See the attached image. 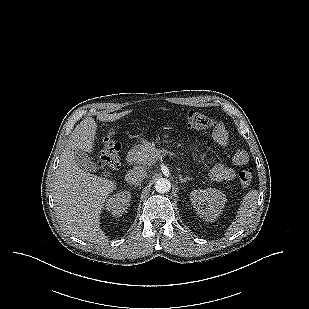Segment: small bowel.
<instances>
[{"label": "small bowel", "mask_w": 309, "mask_h": 309, "mask_svg": "<svg viewBox=\"0 0 309 309\" xmlns=\"http://www.w3.org/2000/svg\"><path fill=\"white\" fill-rule=\"evenodd\" d=\"M213 138L215 142L225 147L229 143V132L226 126L222 123H219L213 131ZM249 157L246 151L238 150L234 153L232 157V162L235 166L241 167L248 163ZM210 177L214 181H231L235 177V171L224 164H216L210 171Z\"/></svg>", "instance_id": "c3829d8e"}]
</instances>
